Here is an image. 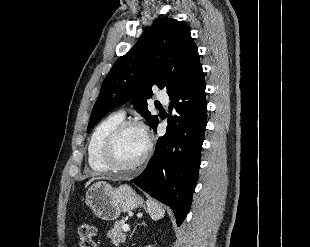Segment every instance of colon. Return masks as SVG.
Listing matches in <instances>:
<instances>
[{"instance_id":"1","label":"colon","mask_w":310,"mask_h":247,"mask_svg":"<svg viewBox=\"0 0 310 247\" xmlns=\"http://www.w3.org/2000/svg\"><path fill=\"white\" fill-rule=\"evenodd\" d=\"M80 242L79 247H96L95 235L96 230L90 224H83L78 230Z\"/></svg>"}]
</instances>
